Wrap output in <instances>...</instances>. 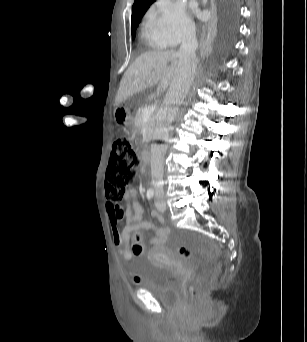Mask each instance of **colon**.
Wrapping results in <instances>:
<instances>
[{
  "instance_id": "1",
  "label": "colon",
  "mask_w": 307,
  "mask_h": 342,
  "mask_svg": "<svg viewBox=\"0 0 307 342\" xmlns=\"http://www.w3.org/2000/svg\"><path fill=\"white\" fill-rule=\"evenodd\" d=\"M138 157L135 154L130 141L122 138L116 141L112 148L110 164L106 171V195L111 200V207H117L126 194L127 186L131 185L137 174ZM132 237L131 249L133 256L142 255V243L139 233L136 231ZM177 253L183 258L191 255L187 246H177ZM133 283L139 284L140 277L134 276ZM203 281H191L189 294H186L188 307H199V295H202Z\"/></svg>"
}]
</instances>
